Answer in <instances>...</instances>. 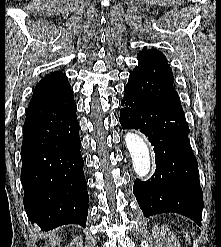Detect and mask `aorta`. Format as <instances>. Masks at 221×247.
Wrapping results in <instances>:
<instances>
[{"instance_id":"aorta-1","label":"aorta","mask_w":221,"mask_h":247,"mask_svg":"<svg viewBox=\"0 0 221 247\" xmlns=\"http://www.w3.org/2000/svg\"><path fill=\"white\" fill-rule=\"evenodd\" d=\"M125 143L133 161L134 171L138 177H145L151 168L150 152L145 140L136 133H127Z\"/></svg>"}]
</instances>
